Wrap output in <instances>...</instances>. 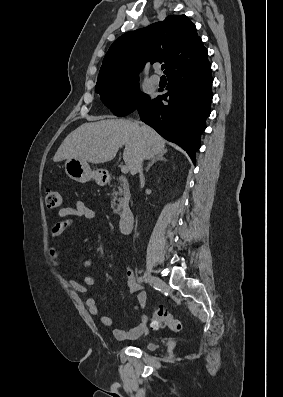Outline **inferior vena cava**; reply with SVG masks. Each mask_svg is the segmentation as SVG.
I'll return each instance as SVG.
<instances>
[{"instance_id":"obj_1","label":"inferior vena cava","mask_w":283,"mask_h":397,"mask_svg":"<svg viewBox=\"0 0 283 397\" xmlns=\"http://www.w3.org/2000/svg\"><path fill=\"white\" fill-rule=\"evenodd\" d=\"M143 161H141L140 163V167H139V173H140V177L143 178Z\"/></svg>"}]
</instances>
